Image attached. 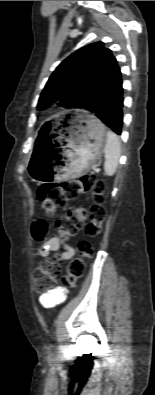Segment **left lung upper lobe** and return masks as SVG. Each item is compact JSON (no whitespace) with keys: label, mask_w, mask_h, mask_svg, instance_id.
Here are the masks:
<instances>
[{"label":"left lung upper lobe","mask_w":155,"mask_h":395,"mask_svg":"<svg viewBox=\"0 0 155 395\" xmlns=\"http://www.w3.org/2000/svg\"><path fill=\"white\" fill-rule=\"evenodd\" d=\"M118 62L112 51L96 42L80 48L63 60L50 76L37 105L42 109L60 100L65 108H79Z\"/></svg>","instance_id":"1"}]
</instances>
